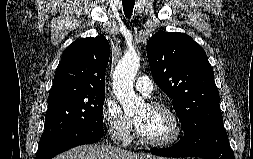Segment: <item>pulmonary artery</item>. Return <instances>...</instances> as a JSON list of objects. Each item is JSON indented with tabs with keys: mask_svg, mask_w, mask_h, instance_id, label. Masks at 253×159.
<instances>
[{
	"mask_svg": "<svg viewBox=\"0 0 253 159\" xmlns=\"http://www.w3.org/2000/svg\"><path fill=\"white\" fill-rule=\"evenodd\" d=\"M135 87L138 92L149 95L153 91V85L147 76H140L136 79Z\"/></svg>",
	"mask_w": 253,
	"mask_h": 159,
	"instance_id": "e3ab8cb5",
	"label": "pulmonary artery"
}]
</instances>
